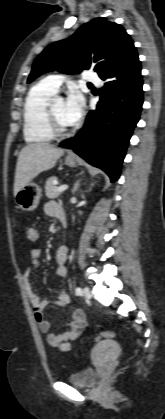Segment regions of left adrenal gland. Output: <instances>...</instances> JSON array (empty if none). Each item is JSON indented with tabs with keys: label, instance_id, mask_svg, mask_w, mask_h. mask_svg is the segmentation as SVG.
<instances>
[{
	"label": "left adrenal gland",
	"instance_id": "obj_1",
	"mask_svg": "<svg viewBox=\"0 0 165 419\" xmlns=\"http://www.w3.org/2000/svg\"><path fill=\"white\" fill-rule=\"evenodd\" d=\"M78 186H79V183L77 182L74 186V190H73L74 192L78 190Z\"/></svg>",
	"mask_w": 165,
	"mask_h": 419
}]
</instances>
